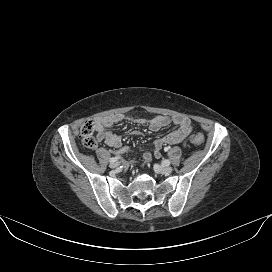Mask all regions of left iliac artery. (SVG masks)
<instances>
[{
    "label": "left iliac artery",
    "mask_w": 272,
    "mask_h": 272,
    "mask_svg": "<svg viewBox=\"0 0 272 272\" xmlns=\"http://www.w3.org/2000/svg\"><path fill=\"white\" fill-rule=\"evenodd\" d=\"M168 148L165 149V151H167ZM163 164L166 165V166H169L170 165V161L168 159L164 160L163 161Z\"/></svg>",
    "instance_id": "left-iliac-artery-1"
}]
</instances>
